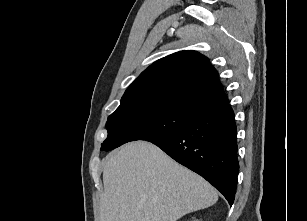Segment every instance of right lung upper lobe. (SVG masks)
<instances>
[{
	"label": "right lung upper lobe",
	"instance_id": "1",
	"mask_svg": "<svg viewBox=\"0 0 307 221\" xmlns=\"http://www.w3.org/2000/svg\"><path fill=\"white\" fill-rule=\"evenodd\" d=\"M139 99L185 101L208 109L228 101L218 72L195 51H180L149 66L128 87L121 102Z\"/></svg>",
	"mask_w": 307,
	"mask_h": 221
}]
</instances>
